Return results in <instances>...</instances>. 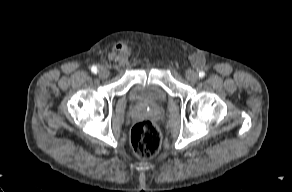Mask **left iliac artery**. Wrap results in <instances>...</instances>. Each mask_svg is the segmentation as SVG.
<instances>
[{"instance_id": "44dca946", "label": "left iliac artery", "mask_w": 292, "mask_h": 192, "mask_svg": "<svg viewBox=\"0 0 292 192\" xmlns=\"http://www.w3.org/2000/svg\"><path fill=\"white\" fill-rule=\"evenodd\" d=\"M204 76H205V73H204L203 71H200V72H199V77H200V78H203Z\"/></svg>"}]
</instances>
